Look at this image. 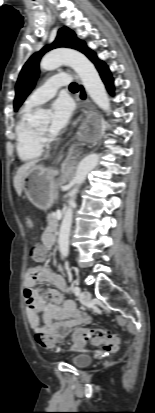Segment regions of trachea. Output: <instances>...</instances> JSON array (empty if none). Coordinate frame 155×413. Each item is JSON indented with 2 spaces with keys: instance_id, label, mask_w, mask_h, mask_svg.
Returning <instances> with one entry per match:
<instances>
[{
  "instance_id": "3493384b",
  "label": "trachea",
  "mask_w": 155,
  "mask_h": 413,
  "mask_svg": "<svg viewBox=\"0 0 155 413\" xmlns=\"http://www.w3.org/2000/svg\"><path fill=\"white\" fill-rule=\"evenodd\" d=\"M69 88H70V90H76V89H78V86H77L76 83L73 82V83L70 84Z\"/></svg>"
}]
</instances>
